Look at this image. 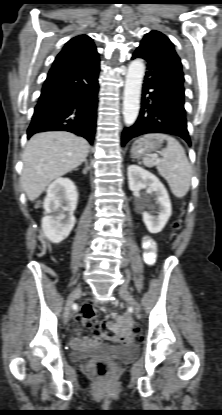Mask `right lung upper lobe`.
<instances>
[{
    "label": "right lung upper lobe",
    "instance_id": "right-lung-upper-lobe-1",
    "mask_svg": "<svg viewBox=\"0 0 222 415\" xmlns=\"http://www.w3.org/2000/svg\"><path fill=\"white\" fill-rule=\"evenodd\" d=\"M97 54L92 39L86 35H80L68 41L55 60L84 59Z\"/></svg>",
    "mask_w": 222,
    "mask_h": 415
}]
</instances>
